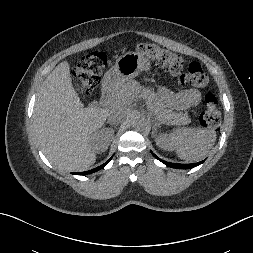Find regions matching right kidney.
<instances>
[{
  "label": "right kidney",
  "mask_w": 253,
  "mask_h": 253,
  "mask_svg": "<svg viewBox=\"0 0 253 253\" xmlns=\"http://www.w3.org/2000/svg\"><path fill=\"white\" fill-rule=\"evenodd\" d=\"M107 131H109V129H101L99 132H95L91 137L92 148L96 153H102L108 149L113 139V133L108 134Z\"/></svg>",
  "instance_id": "ca27d5eb"
}]
</instances>
